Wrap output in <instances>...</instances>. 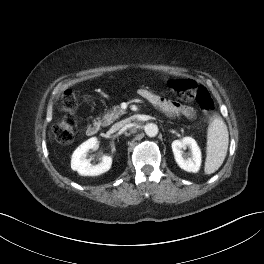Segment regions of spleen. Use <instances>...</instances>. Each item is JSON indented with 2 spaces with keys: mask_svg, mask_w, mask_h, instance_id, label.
<instances>
[{
  "mask_svg": "<svg viewBox=\"0 0 264 264\" xmlns=\"http://www.w3.org/2000/svg\"><path fill=\"white\" fill-rule=\"evenodd\" d=\"M229 134L221 117L211 121L207 134L205 174H212L223 164L228 150Z\"/></svg>",
  "mask_w": 264,
  "mask_h": 264,
  "instance_id": "obj_1",
  "label": "spleen"
}]
</instances>
